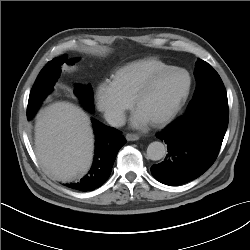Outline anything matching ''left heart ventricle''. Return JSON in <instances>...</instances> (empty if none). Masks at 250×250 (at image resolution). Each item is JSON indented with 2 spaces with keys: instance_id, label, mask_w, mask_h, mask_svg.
<instances>
[{
  "instance_id": "b2bd125f",
  "label": "left heart ventricle",
  "mask_w": 250,
  "mask_h": 250,
  "mask_svg": "<svg viewBox=\"0 0 250 250\" xmlns=\"http://www.w3.org/2000/svg\"><path fill=\"white\" fill-rule=\"evenodd\" d=\"M187 82V76L183 72L176 71L163 76L149 94L139 102L137 110L149 122L161 118L171 110L183 95Z\"/></svg>"
}]
</instances>
